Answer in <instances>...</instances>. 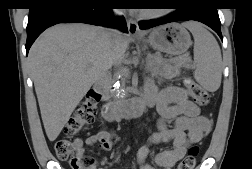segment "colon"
I'll list each match as a JSON object with an SVG mask.
<instances>
[{
    "label": "colon",
    "mask_w": 252,
    "mask_h": 169,
    "mask_svg": "<svg viewBox=\"0 0 252 169\" xmlns=\"http://www.w3.org/2000/svg\"><path fill=\"white\" fill-rule=\"evenodd\" d=\"M194 102L200 106L207 105L209 95L200 85L192 79L184 81ZM100 94L95 90H89L80 104L74 110L65 127L67 137L60 138L55 143V153L57 157L68 162L73 169H87L93 162L92 158L82 154V141L74 138V135L89 126L95 117L96 106L98 104ZM111 141L114 142L116 137L111 134ZM198 149L196 147L190 149L186 156L181 160L177 169H193L196 163Z\"/></svg>",
    "instance_id": "5ec220e1"
}]
</instances>
